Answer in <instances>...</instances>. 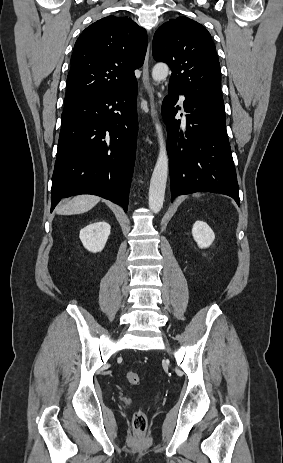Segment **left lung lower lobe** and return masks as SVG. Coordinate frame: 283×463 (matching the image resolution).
I'll return each instance as SVG.
<instances>
[{
  "instance_id": "obj_1",
  "label": "left lung lower lobe",
  "mask_w": 283,
  "mask_h": 463,
  "mask_svg": "<svg viewBox=\"0 0 283 463\" xmlns=\"http://www.w3.org/2000/svg\"><path fill=\"white\" fill-rule=\"evenodd\" d=\"M181 94L169 86L162 104L167 125V151L170 158L171 200L193 192L221 193L232 197L239 205V188L226 131L225 119L206 113L184 101L186 131L174 117V107Z\"/></svg>"
}]
</instances>
